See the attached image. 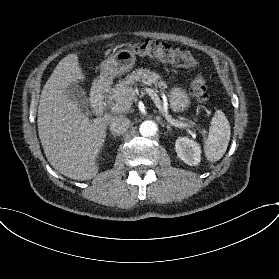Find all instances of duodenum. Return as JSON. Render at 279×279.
I'll return each instance as SVG.
<instances>
[{"label":"duodenum","mask_w":279,"mask_h":279,"mask_svg":"<svg viewBox=\"0 0 279 279\" xmlns=\"http://www.w3.org/2000/svg\"><path fill=\"white\" fill-rule=\"evenodd\" d=\"M90 104L95 114H101L104 108V85L96 83L92 89L90 96Z\"/></svg>","instance_id":"duodenum-1"}]
</instances>
